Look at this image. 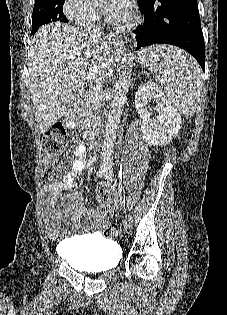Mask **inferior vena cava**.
<instances>
[{
    "mask_svg": "<svg viewBox=\"0 0 227 315\" xmlns=\"http://www.w3.org/2000/svg\"><path fill=\"white\" fill-rule=\"evenodd\" d=\"M88 32L93 37H100L101 36L100 28H98L95 25H91L88 28ZM97 134L99 135V132ZM105 167H111V161L109 163H105L104 161H101V168H105Z\"/></svg>",
    "mask_w": 227,
    "mask_h": 315,
    "instance_id": "1",
    "label": "inferior vena cava"
}]
</instances>
